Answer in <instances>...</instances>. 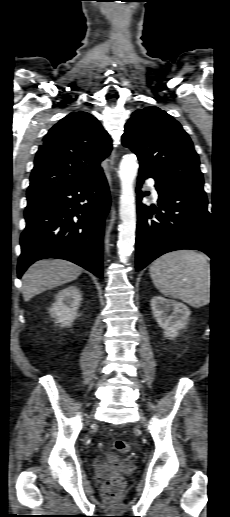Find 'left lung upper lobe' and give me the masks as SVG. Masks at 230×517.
Masks as SVG:
<instances>
[{"label": "left lung upper lobe", "instance_id": "1", "mask_svg": "<svg viewBox=\"0 0 230 517\" xmlns=\"http://www.w3.org/2000/svg\"><path fill=\"white\" fill-rule=\"evenodd\" d=\"M138 157L141 171L181 186L203 187L199 157L182 126L158 107L132 114L122 136Z\"/></svg>", "mask_w": 230, "mask_h": 517}]
</instances>
